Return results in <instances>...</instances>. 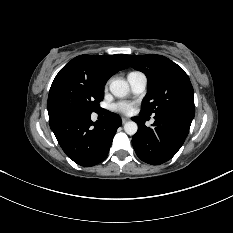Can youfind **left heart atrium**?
<instances>
[{
	"label": "left heart atrium",
	"mask_w": 233,
	"mask_h": 233,
	"mask_svg": "<svg viewBox=\"0 0 233 233\" xmlns=\"http://www.w3.org/2000/svg\"><path fill=\"white\" fill-rule=\"evenodd\" d=\"M116 112L130 114L133 111V104L129 102H118L112 106Z\"/></svg>",
	"instance_id": "1"
}]
</instances>
